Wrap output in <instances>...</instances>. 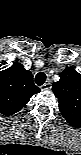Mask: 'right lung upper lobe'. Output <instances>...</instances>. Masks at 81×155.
Segmentation results:
<instances>
[{"instance_id": "cb5924a9", "label": "right lung upper lobe", "mask_w": 81, "mask_h": 155, "mask_svg": "<svg viewBox=\"0 0 81 155\" xmlns=\"http://www.w3.org/2000/svg\"><path fill=\"white\" fill-rule=\"evenodd\" d=\"M40 92L33 75L21 63H14L0 72V112L10 116L22 109L29 99Z\"/></svg>"}]
</instances>
